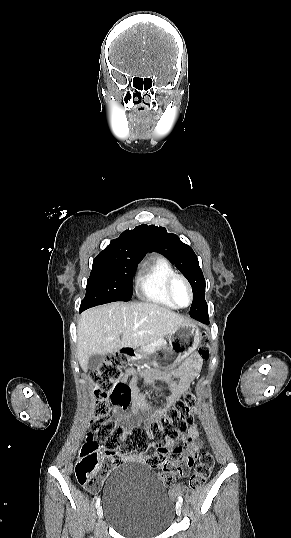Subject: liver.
Segmentation results:
<instances>
[{
  "label": "liver",
  "instance_id": "1",
  "mask_svg": "<svg viewBox=\"0 0 291 538\" xmlns=\"http://www.w3.org/2000/svg\"><path fill=\"white\" fill-rule=\"evenodd\" d=\"M188 323V318L150 302H114L89 309L77 326L78 361L85 371L91 355L144 346Z\"/></svg>",
  "mask_w": 291,
  "mask_h": 538
}]
</instances>
